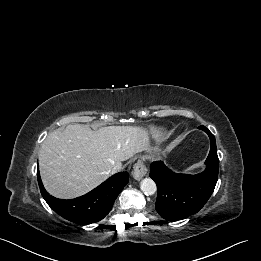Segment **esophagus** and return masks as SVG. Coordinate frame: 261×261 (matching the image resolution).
<instances>
[{
    "label": "esophagus",
    "mask_w": 261,
    "mask_h": 261,
    "mask_svg": "<svg viewBox=\"0 0 261 261\" xmlns=\"http://www.w3.org/2000/svg\"><path fill=\"white\" fill-rule=\"evenodd\" d=\"M146 172H147V168L145 167L142 161L138 160L133 167L132 175L134 179L136 180L142 179L146 175Z\"/></svg>",
    "instance_id": "obj_1"
}]
</instances>
